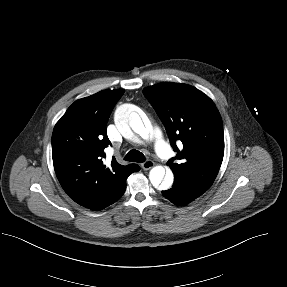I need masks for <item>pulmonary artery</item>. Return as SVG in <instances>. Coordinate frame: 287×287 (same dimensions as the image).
Masks as SVG:
<instances>
[{"label":"pulmonary artery","instance_id":"obj_1","mask_svg":"<svg viewBox=\"0 0 287 287\" xmlns=\"http://www.w3.org/2000/svg\"><path fill=\"white\" fill-rule=\"evenodd\" d=\"M156 152L163 159H167L171 156V150L169 146L161 138H158L157 140Z\"/></svg>","mask_w":287,"mask_h":287}]
</instances>
